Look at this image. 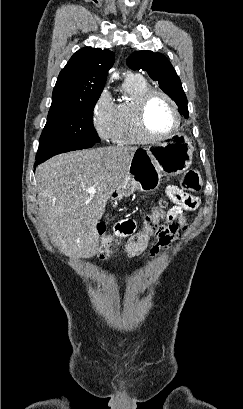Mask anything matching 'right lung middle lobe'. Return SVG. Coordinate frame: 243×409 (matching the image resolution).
Listing matches in <instances>:
<instances>
[{
    "mask_svg": "<svg viewBox=\"0 0 243 409\" xmlns=\"http://www.w3.org/2000/svg\"><path fill=\"white\" fill-rule=\"evenodd\" d=\"M96 102L52 103L40 144L99 143L93 126Z\"/></svg>",
    "mask_w": 243,
    "mask_h": 409,
    "instance_id": "right-lung-middle-lobe-1",
    "label": "right lung middle lobe"
}]
</instances>
